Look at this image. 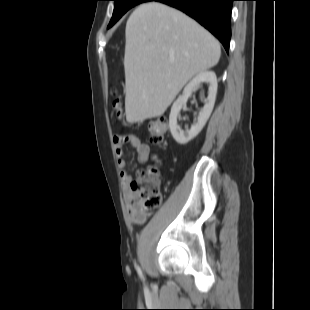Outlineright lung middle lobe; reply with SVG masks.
I'll use <instances>...</instances> for the list:
<instances>
[{
	"label": "right lung middle lobe",
	"instance_id": "obj_1",
	"mask_svg": "<svg viewBox=\"0 0 310 310\" xmlns=\"http://www.w3.org/2000/svg\"><path fill=\"white\" fill-rule=\"evenodd\" d=\"M114 11L108 28L113 26L130 8L148 0H114Z\"/></svg>",
	"mask_w": 310,
	"mask_h": 310
}]
</instances>
